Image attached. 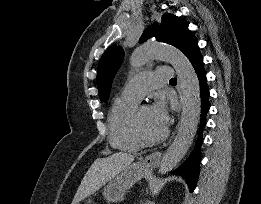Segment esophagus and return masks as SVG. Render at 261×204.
Here are the masks:
<instances>
[{"instance_id":"obj_1","label":"esophagus","mask_w":261,"mask_h":204,"mask_svg":"<svg viewBox=\"0 0 261 204\" xmlns=\"http://www.w3.org/2000/svg\"><path fill=\"white\" fill-rule=\"evenodd\" d=\"M180 100H182L181 96H180ZM161 157H162V152L160 151L153 152L152 154L146 156L143 160H141L139 162V165L145 169L153 168L159 164Z\"/></svg>"}]
</instances>
